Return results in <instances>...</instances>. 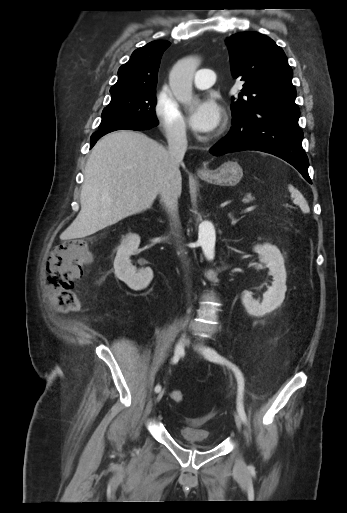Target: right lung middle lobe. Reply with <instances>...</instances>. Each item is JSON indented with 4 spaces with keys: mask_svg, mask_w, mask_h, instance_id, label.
Returning <instances> with one entry per match:
<instances>
[{
    "mask_svg": "<svg viewBox=\"0 0 347 513\" xmlns=\"http://www.w3.org/2000/svg\"><path fill=\"white\" fill-rule=\"evenodd\" d=\"M110 93L111 101L102 112L99 130L119 124H138L145 127L158 125L155 115L156 87Z\"/></svg>",
    "mask_w": 347,
    "mask_h": 513,
    "instance_id": "dd1d6c3e",
    "label": "right lung middle lobe"
}]
</instances>
